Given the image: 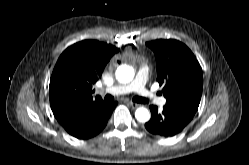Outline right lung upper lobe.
I'll use <instances>...</instances> for the list:
<instances>
[{
	"instance_id": "cb5924a9",
	"label": "right lung upper lobe",
	"mask_w": 249,
	"mask_h": 165,
	"mask_svg": "<svg viewBox=\"0 0 249 165\" xmlns=\"http://www.w3.org/2000/svg\"><path fill=\"white\" fill-rule=\"evenodd\" d=\"M118 50L110 44L84 40L61 54L50 79L49 99L62 126L103 102L98 96L93 98L92 86Z\"/></svg>"
}]
</instances>
